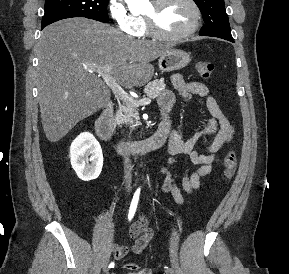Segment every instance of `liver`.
I'll return each mask as SVG.
<instances>
[{
  "mask_svg": "<svg viewBox=\"0 0 289 274\" xmlns=\"http://www.w3.org/2000/svg\"><path fill=\"white\" fill-rule=\"evenodd\" d=\"M170 46L133 39L86 18H70L44 28L36 46L37 83L42 125L47 139H62L78 122L110 99V90L93 70L109 66L125 88L151 80L150 64Z\"/></svg>",
  "mask_w": 289,
  "mask_h": 274,
  "instance_id": "1",
  "label": "liver"
}]
</instances>
